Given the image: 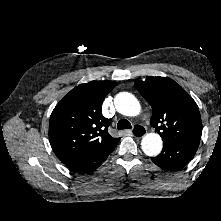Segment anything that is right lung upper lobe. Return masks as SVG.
<instances>
[{"instance_id":"cb5924a9","label":"right lung upper lobe","mask_w":221,"mask_h":221,"mask_svg":"<svg viewBox=\"0 0 221 221\" xmlns=\"http://www.w3.org/2000/svg\"><path fill=\"white\" fill-rule=\"evenodd\" d=\"M116 84L91 81L78 85L54 108L49 122V141L64 164L89 155L105 154L117 146L120 138L109 135V120L101 113L103 99Z\"/></svg>"}]
</instances>
